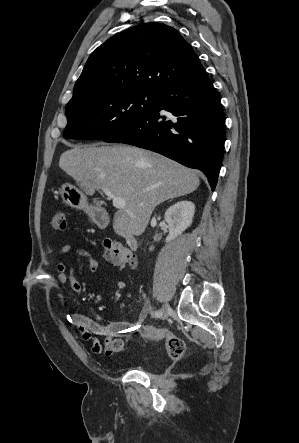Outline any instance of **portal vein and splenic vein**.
I'll list each match as a JSON object with an SVG mask.
<instances>
[{"mask_svg":"<svg viewBox=\"0 0 299 443\" xmlns=\"http://www.w3.org/2000/svg\"><path fill=\"white\" fill-rule=\"evenodd\" d=\"M103 193L112 199L113 206L117 209H122L125 207V200L121 197L114 195L109 189H102Z\"/></svg>","mask_w":299,"mask_h":443,"instance_id":"portal-vein-and-splenic-vein-1","label":"portal vein and splenic vein"}]
</instances>
